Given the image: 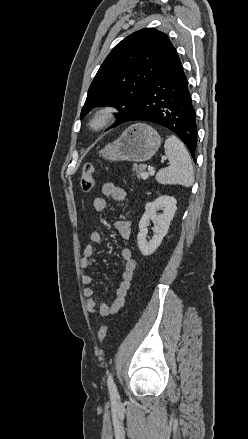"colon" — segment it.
I'll return each instance as SVG.
<instances>
[{"label":"colon","instance_id":"colon-1","mask_svg":"<svg viewBox=\"0 0 248 439\" xmlns=\"http://www.w3.org/2000/svg\"><path fill=\"white\" fill-rule=\"evenodd\" d=\"M94 166L92 163H86L82 169L81 177H80V186L81 189L88 193L90 192L94 187ZM109 330L108 325H103L100 327L97 338L99 341H103L106 337Z\"/></svg>","mask_w":248,"mask_h":439}]
</instances>
